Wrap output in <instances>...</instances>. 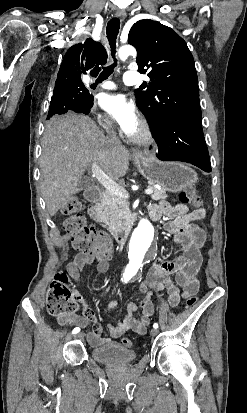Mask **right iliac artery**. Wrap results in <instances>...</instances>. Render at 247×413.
<instances>
[{"label": "right iliac artery", "mask_w": 247, "mask_h": 413, "mask_svg": "<svg viewBox=\"0 0 247 413\" xmlns=\"http://www.w3.org/2000/svg\"><path fill=\"white\" fill-rule=\"evenodd\" d=\"M78 332H80V328L76 327V328L73 329L72 334H76Z\"/></svg>", "instance_id": "1"}]
</instances>
